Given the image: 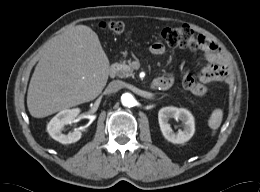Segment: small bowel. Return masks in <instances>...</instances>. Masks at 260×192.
I'll use <instances>...</instances> for the list:
<instances>
[{
    "label": "small bowel",
    "mask_w": 260,
    "mask_h": 192,
    "mask_svg": "<svg viewBox=\"0 0 260 192\" xmlns=\"http://www.w3.org/2000/svg\"><path fill=\"white\" fill-rule=\"evenodd\" d=\"M200 37L202 39L201 49L205 53L207 65L198 74L199 82L196 81V90L191 91L197 96H203L207 93L208 87L205 84L224 81L228 77L223 57L217 46L204 36ZM150 52L154 55H162L165 52V46L160 42H155L150 46ZM159 79L164 83L163 89H168L174 82L173 75L169 73Z\"/></svg>",
    "instance_id": "small-bowel-1"
}]
</instances>
